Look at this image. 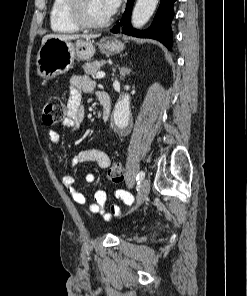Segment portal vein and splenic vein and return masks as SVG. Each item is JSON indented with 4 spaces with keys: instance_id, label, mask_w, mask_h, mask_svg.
Segmentation results:
<instances>
[{
    "instance_id": "portal-vein-and-splenic-vein-1",
    "label": "portal vein and splenic vein",
    "mask_w": 247,
    "mask_h": 296,
    "mask_svg": "<svg viewBox=\"0 0 247 296\" xmlns=\"http://www.w3.org/2000/svg\"><path fill=\"white\" fill-rule=\"evenodd\" d=\"M105 77V72L103 71H100L96 74V78L97 79H101V78H104Z\"/></svg>"
}]
</instances>
